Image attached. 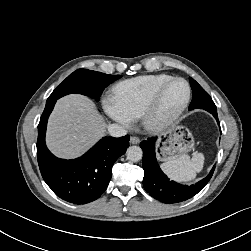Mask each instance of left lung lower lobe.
Listing matches in <instances>:
<instances>
[{"label":"left lung lower lobe","instance_id":"left-lung-lower-lobe-1","mask_svg":"<svg viewBox=\"0 0 251 251\" xmlns=\"http://www.w3.org/2000/svg\"><path fill=\"white\" fill-rule=\"evenodd\" d=\"M200 108L203 109L202 106ZM210 113L215 117L220 126L217 111ZM155 142L156 138L152 137L140 143V147L143 149V186L145 190L153 198L166 204L188 200L200 192L211 179L215 167L211 169L208 176L194 185L187 186L176 183L175 181L169 180L161 171L155 157Z\"/></svg>","mask_w":251,"mask_h":251}]
</instances>
